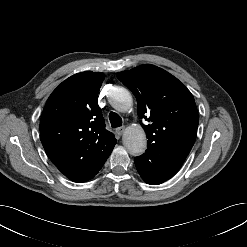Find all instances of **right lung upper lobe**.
Wrapping results in <instances>:
<instances>
[{
  "mask_svg": "<svg viewBox=\"0 0 247 247\" xmlns=\"http://www.w3.org/2000/svg\"><path fill=\"white\" fill-rule=\"evenodd\" d=\"M103 80V73H77L52 92L44 107L41 142L53 164L66 177L105 161L117 142L105 129L97 102Z\"/></svg>",
  "mask_w": 247,
  "mask_h": 247,
  "instance_id": "1",
  "label": "right lung upper lobe"
}]
</instances>
